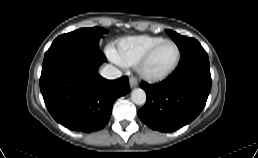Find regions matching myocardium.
Here are the masks:
<instances>
[{"label": "myocardium", "mask_w": 258, "mask_h": 158, "mask_svg": "<svg viewBox=\"0 0 258 158\" xmlns=\"http://www.w3.org/2000/svg\"><path fill=\"white\" fill-rule=\"evenodd\" d=\"M164 43H171L174 45L175 49H176V58L175 61L173 62V64L168 67L165 71L158 73V74H154L149 72L146 69V65L149 61V59L151 58V56L154 54V52L158 49V47ZM181 60V52L180 49L178 47V45L170 39H163L160 42H158L156 45H154L144 56L143 58L139 61L138 66H137V71L139 73V75L149 81V82H160L165 80L166 78H168L178 67L179 63Z\"/></svg>", "instance_id": "myocardium-1"}]
</instances>
